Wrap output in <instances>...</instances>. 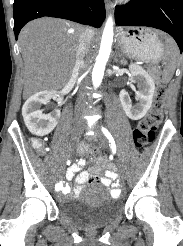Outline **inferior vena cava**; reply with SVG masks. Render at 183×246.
Here are the masks:
<instances>
[{
  "label": "inferior vena cava",
  "mask_w": 183,
  "mask_h": 246,
  "mask_svg": "<svg viewBox=\"0 0 183 246\" xmlns=\"http://www.w3.org/2000/svg\"><path fill=\"white\" fill-rule=\"evenodd\" d=\"M92 39V30L90 28H85L80 35L79 46L76 53V62L75 67L73 69V73H78L79 69H83L85 67V58L88 55L90 42ZM85 106V102L83 99L77 100V107Z\"/></svg>",
  "instance_id": "1"
}]
</instances>
